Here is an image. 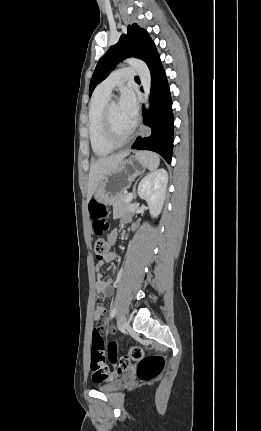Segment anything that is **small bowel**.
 <instances>
[{"mask_svg": "<svg viewBox=\"0 0 261 431\" xmlns=\"http://www.w3.org/2000/svg\"><path fill=\"white\" fill-rule=\"evenodd\" d=\"M121 220L123 222H127L128 218L122 217ZM118 233L116 231H112L107 236V241L110 244H114L117 240ZM115 259L114 253H109L106 255L101 261L96 264V272H97V281H96V309L94 311L93 317L94 320L99 321L101 317L106 313L107 305L106 300L108 297H111L114 292V280L112 278L104 279L101 274V269L106 263H110ZM98 335H103L104 326L100 324L97 326Z\"/></svg>", "mask_w": 261, "mask_h": 431, "instance_id": "1", "label": "small bowel"}]
</instances>
